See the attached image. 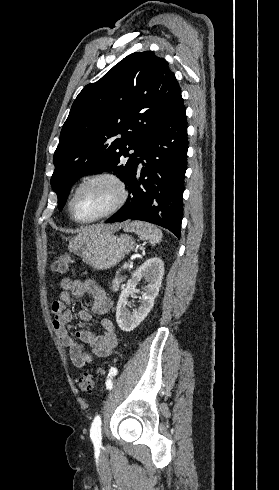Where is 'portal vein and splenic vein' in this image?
I'll return each mask as SVG.
<instances>
[{"label":"portal vein and splenic vein","mask_w":279,"mask_h":490,"mask_svg":"<svg viewBox=\"0 0 279 490\" xmlns=\"http://www.w3.org/2000/svg\"><path fill=\"white\" fill-rule=\"evenodd\" d=\"M122 268H124V270H126V268H129V264H124V266H122Z\"/></svg>","instance_id":"1"}]
</instances>
